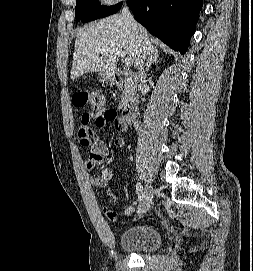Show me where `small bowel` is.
Returning a JSON list of instances; mask_svg holds the SVG:
<instances>
[{
    "instance_id": "small-bowel-1",
    "label": "small bowel",
    "mask_w": 253,
    "mask_h": 271,
    "mask_svg": "<svg viewBox=\"0 0 253 271\" xmlns=\"http://www.w3.org/2000/svg\"><path fill=\"white\" fill-rule=\"evenodd\" d=\"M94 120L95 124L99 128L105 127L110 121H107L103 114L94 115L91 113H84L80 120V126L78 129V139L81 145L90 147V154L84 159V168L88 174H92L95 168L102 164L106 157L109 155L110 150L107 144L99 137L93 134L90 122ZM114 126L120 131L125 132L127 127L124 123L116 120L113 122ZM115 145L117 147H124L126 141L122 137L115 139ZM111 171L108 169H102L96 177L91 178V184L94 187L103 188L106 187L111 179ZM134 211L133 206H127L123 209V216H130ZM106 215L111 221H116L119 214L113 210L107 209Z\"/></svg>"
}]
</instances>
